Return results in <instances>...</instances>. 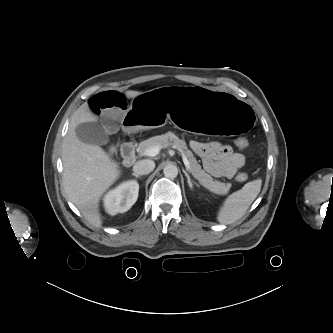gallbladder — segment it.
<instances>
[{
  "instance_id": "1",
  "label": "gallbladder",
  "mask_w": 333,
  "mask_h": 333,
  "mask_svg": "<svg viewBox=\"0 0 333 333\" xmlns=\"http://www.w3.org/2000/svg\"><path fill=\"white\" fill-rule=\"evenodd\" d=\"M76 136L84 143L91 145H105L109 137L104 128L93 122L79 124L76 129Z\"/></svg>"
}]
</instances>
